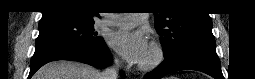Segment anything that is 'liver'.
Segmentation results:
<instances>
[{"label":"liver","mask_w":255,"mask_h":79,"mask_svg":"<svg viewBox=\"0 0 255 79\" xmlns=\"http://www.w3.org/2000/svg\"><path fill=\"white\" fill-rule=\"evenodd\" d=\"M101 73L80 62L59 60L41 67L33 79H100Z\"/></svg>","instance_id":"6515ba94"}]
</instances>
